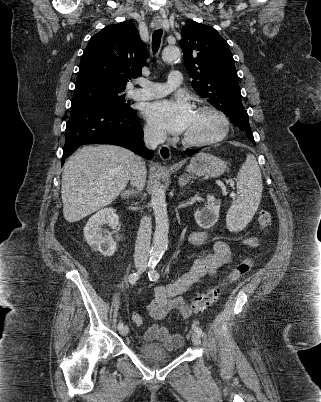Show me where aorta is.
<instances>
[{
	"instance_id": "762f6f07",
	"label": "aorta",
	"mask_w": 321,
	"mask_h": 402,
	"mask_svg": "<svg viewBox=\"0 0 321 402\" xmlns=\"http://www.w3.org/2000/svg\"><path fill=\"white\" fill-rule=\"evenodd\" d=\"M181 57L178 47L167 46L162 52V58L168 63H174ZM151 205L155 216V233L150 252L149 265L154 267L161 259L168 246L169 219L165 189L162 184L156 183L151 193Z\"/></svg>"
}]
</instances>
